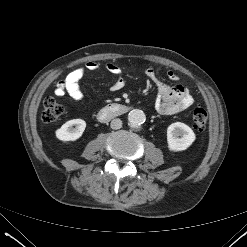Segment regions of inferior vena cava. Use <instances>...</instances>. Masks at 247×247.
Returning <instances> with one entry per match:
<instances>
[{
	"instance_id": "obj_1",
	"label": "inferior vena cava",
	"mask_w": 247,
	"mask_h": 247,
	"mask_svg": "<svg viewBox=\"0 0 247 247\" xmlns=\"http://www.w3.org/2000/svg\"><path fill=\"white\" fill-rule=\"evenodd\" d=\"M110 126L114 130L120 129L122 127V121L119 118L113 119Z\"/></svg>"
}]
</instances>
